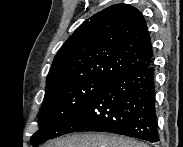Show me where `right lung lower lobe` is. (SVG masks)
Wrapping results in <instances>:
<instances>
[{"instance_id":"98d812e1","label":"right lung lower lobe","mask_w":183,"mask_h":147,"mask_svg":"<svg viewBox=\"0 0 183 147\" xmlns=\"http://www.w3.org/2000/svg\"><path fill=\"white\" fill-rule=\"evenodd\" d=\"M155 74L149 67L108 82L71 115L53 138L82 131L110 132L158 142Z\"/></svg>"}]
</instances>
